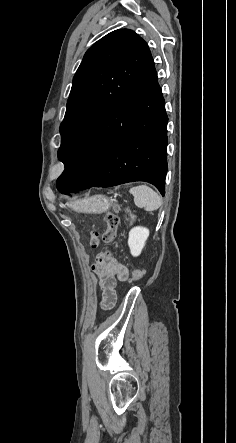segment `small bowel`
<instances>
[{"label":"small bowel","instance_id":"small-bowel-1","mask_svg":"<svg viewBox=\"0 0 236 443\" xmlns=\"http://www.w3.org/2000/svg\"><path fill=\"white\" fill-rule=\"evenodd\" d=\"M92 270L100 278V288L102 291V306L110 309L116 302L115 280L125 281L128 278V269L117 259L101 253L98 255Z\"/></svg>","mask_w":236,"mask_h":443}]
</instances>
